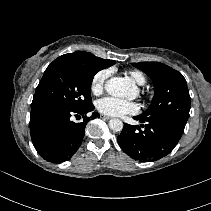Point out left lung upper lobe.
<instances>
[{
  "mask_svg": "<svg viewBox=\"0 0 211 211\" xmlns=\"http://www.w3.org/2000/svg\"><path fill=\"white\" fill-rule=\"evenodd\" d=\"M153 81L154 97L142 117H165L185 127L190 111V95L183 75L160 62L133 63Z\"/></svg>",
  "mask_w": 211,
  "mask_h": 211,
  "instance_id": "left-lung-upper-lobe-1",
  "label": "left lung upper lobe"
}]
</instances>
